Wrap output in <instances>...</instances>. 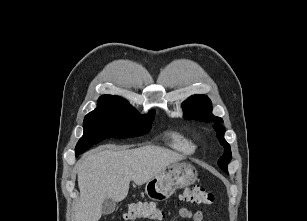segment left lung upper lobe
<instances>
[{"label": "left lung upper lobe", "mask_w": 307, "mask_h": 221, "mask_svg": "<svg viewBox=\"0 0 307 221\" xmlns=\"http://www.w3.org/2000/svg\"><path fill=\"white\" fill-rule=\"evenodd\" d=\"M184 117L186 119H195L207 122H223L219 117L212 114V103L207 96L193 95L183 103ZM215 129L218 132V139L224 146V155L219 159V167L228 173L227 165L232 158L230 145L224 139L225 130L222 125L215 124Z\"/></svg>", "instance_id": "5c2ea615"}]
</instances>
